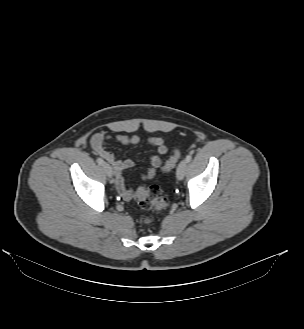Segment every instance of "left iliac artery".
Segmentation results:
<instances>
[{
  "instance_id": "44dca946",
  "label": "left iliac artery",
  "mask_w": 304,
  "mask_h": 329,
  "mask_svg": "<svg viewBox=\"0 0 304 329\" xmlns=\"http://www.w3.org/2000/svg\"><path fill=\"white\" fill-rule=\"evenodd\" d=\"M192 160V155L191 154H188L185 158V161L188 163Z\"/></svg>"
}]
</instances>
